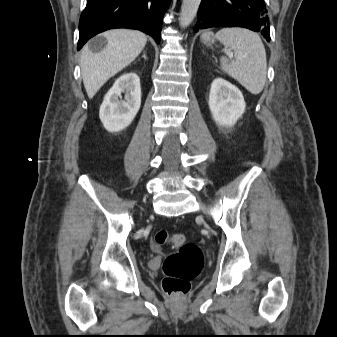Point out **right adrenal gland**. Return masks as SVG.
<instances>
[{"mask_svg": "<svg viewBox=\"0 0 337 337\" xmlns=\"http://www.w3.org/2000/svg\"><path fill=\"white\" fill-rule=\"evenodd\" d=\"M142 57H143L144 59H147V57H146L145 53L142 55Z\"/></svg>", "mask_w": 337, "mask_h": 337, "instance_id": "1", "label": "right adrenal gland"}]
</instances>
